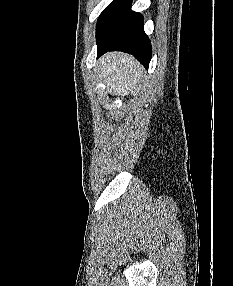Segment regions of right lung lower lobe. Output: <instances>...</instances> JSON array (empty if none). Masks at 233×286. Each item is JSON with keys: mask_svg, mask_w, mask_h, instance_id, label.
<instances>
[{"mask_svg": "<svg viewBox=\"0 0 233 286\" xmlns=\"http://www.w3.org/2000/svg\"><path fill=\"white\" fill-rule=\"evenodd\" d=\"M96 39L98 57L108 51H123L148 68L151 44L142 15L131 10V0H114L105 8L98 19Z\"/></svg>", "mask_w": 233, "mask_h": 286, "instance_id": "1", "label": "right lung lower lobe"}]
</instances>
